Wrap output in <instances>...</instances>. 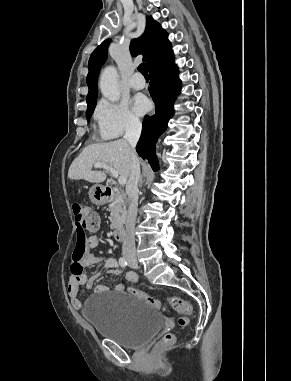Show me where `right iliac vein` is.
<instances>
[{
  "mask_svg": "<svg viewBox=\"0 0 291 381\" xmlns=\"http://www.w3.org/2000/svg\"><path fill=\"white\" fill-rule=\"evenodd\" d=\"M126 258L128 259V261H135L136 260V256L134 254L126 255Z\"/></svg>",
  "mask_w": 291,
  "mask_h": 381,
  "instance_id": "1",
  "label": "right iliac vein"
}]
</instances>
